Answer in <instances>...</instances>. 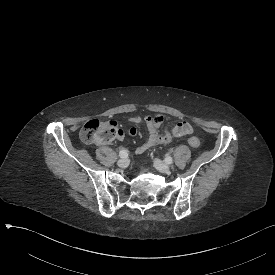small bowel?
<instances>
[{
  "label": "small bowel",
  "instance_id": "c3829d8e",
  "mask_svg": "<svg viewBox=\"0 0 275 275\" xmlns=\"http://www.w3.org/2000/svg\"><path fill=\"white\" fill-rule=\"evenodd\" d=\"M142 121L143 119L139 115L130 117V122L133 124H140ZM145 121L150 123V125H147L148 137L144 143L136 148L135 152L137 154H143L155 146H165L169 144L172 139H180L186 137L192 132L191 124L187 121H181L174 125L170 131L164 130L162 133H160L159 126L162 122V119L159 114H154L151 118H145ZM117 134V138L119 140H123L125 138L124 131L122 129H119L117 131ZM136 134V128H130L129 135L134 136Z\"/></svg>",
  "mask_w": 275,
  "mask_h": 275
}]
</instances>
